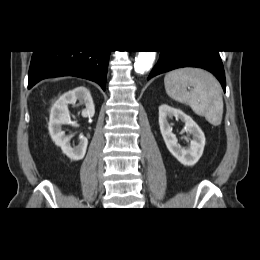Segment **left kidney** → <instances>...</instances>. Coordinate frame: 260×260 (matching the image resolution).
Returning a JSON list of instances; mask_svg holds the SVG:
<instances>
[{
  "label": "left kidney",
  "instance_id": "5707ae66",
  "mask_svg": "<svg viewBox=\"0 0 260 260\" xmlns=\"http://www.w3.org/2000/svg\"><path fill=\"white\" fill-rule=\"evenodd\" d=\"M173 117L184 122V129L188 134L192 135L188 149L181 148L176 136L172 132V126L168 120ZM159 126L167 149L180 163L185 166H193L198 162L203 154L205 135L190 116L180 109L163 104L159 107Z\"/></svg>",
  "mask_w": 260,
  "mask_h": 260
}]
</instances>
